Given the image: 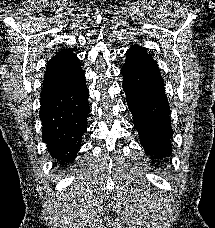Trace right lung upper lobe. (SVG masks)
<instances>
[{
  "instance_id": "1",
  "label": "right lung upper lobe",
  "mask_w": 215,
  "mask_h": 228,
  "mask_svg": "<svg viewBox=\"0 0 215 228\" xmlns=\"http://www.w3.org/2000/svg\"><path fill=\"white\" fill-rule=\"evenodd\" d=\"M83 74L78 57L71 50L62 49L47 63L41 102L62 91L63 82L76 80Z\"/></svg>"
}]
</instances>
